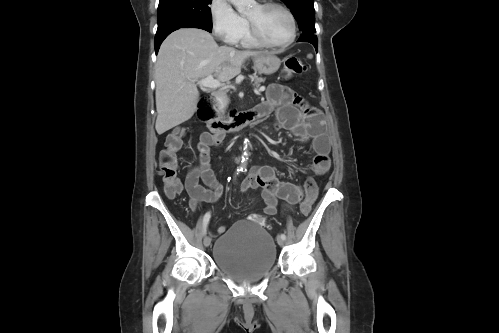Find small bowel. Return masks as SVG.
Masks as SVG:
<instances>
[{
    "mask_svg": "<svg viewBox=\"0 0 499 333\" xmlns=\"http://www.w3.org/2000/svg\"><path fill=\"white\" fill-rule=\"evenodd\" d=\"M264 116L270 114L277 107L275 118L276 127L287 129L301 141H312L315 152L312 168L315 174H325L331 166L330 142L325 129L322 113L309 106L304 99L289 87L273 83L267 89V100L258 105ZM223 137L203 133L198 144L199 162L189 168L185 178V188L190 196V207L195 210L200 202L214 203L218 201L224 191L210 166V148L218 145ZM202 180L206 187L200 185ZM242 191L261 190L263 211L267 215H275L277 202H284V212L300 202L303 197L302 188L294 183L277 179L270 166L255 167L250 176L242 183ZM226 226L218 228L223 233Z\"/></svg>",
    "mask_w": 499,
    "mask_h": 333,
    "instance_id": "obj_1",
    "label": "small bowel"
}]
</instances>
